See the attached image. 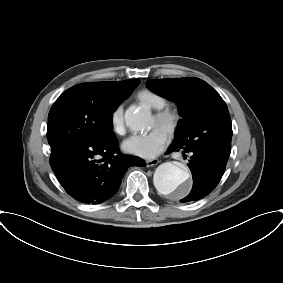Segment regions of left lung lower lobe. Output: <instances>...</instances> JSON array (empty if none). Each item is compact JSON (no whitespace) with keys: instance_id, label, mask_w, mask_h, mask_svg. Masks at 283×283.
<instances>
[{"instance_id":"0a47b994","label":"left lung lower lobe","mask_w":283,"mask_h":283,"mask_svg":"<svg viewBox=\"0 0 283 283\" xmlns=\"http://www.w3.org/2000/svg\"><path fill=\"white\" fill-rule=\"evenodd\" d=\"M193 139L174 141L167 153L182 151L183 156L188 154V166L193 176V187L187 197L181 202L201 199L207 196L219 183L224 174L228 154H214L196 145Z\"/></svg>"}]
</instances>
